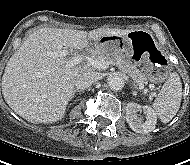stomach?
I'll use <instances>...</instances> for the list:
<instances>
[{
  "label": "stomach",
  "instance_id": "1",
  "mask_svg": "<svg viewBox=\"0 0 190 165\" xmlns=\"http://www.w3.org/2000/svg\"><path fill=\"white\" fill-rule=\"evenodd\" d=\"M94 51L105 56L130 58V66L144 72L147 80L159 82L170 71V58L159 51L148 32L124 31L120 36H103L94 42Z\"/></svg>",
  "mask_w": 190,
  "mask_h": 165
}]
</instances>
